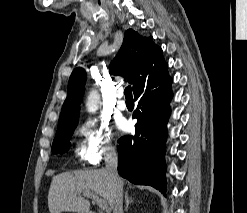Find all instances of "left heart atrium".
<instances>
[{
	"label": "left heart atrium",
	"mask_w": 247,
	"mask_h": 213,
	"mask_svg": "<svg viewBox=\"0 0 247 213\" xmlns=\"http://www.w3.org/2000/svg\"><path fill=\"white\" fill-rule=\"evenodd\" d=\"M117 126L121 131H127L129 128V125L126 120H119Z\"/></svg>",
	"instance_id": "1"
}]
</instances>
